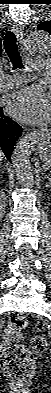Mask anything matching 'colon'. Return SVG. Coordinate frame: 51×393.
<instances>
[{
	"instance_id": "obj_1",
	"label": "colon",
	"mask_w": 51,
	"mask_h": 393,
	"mask_svg": "<svg viewBox=\"0 0 51 393\" xmlns=\"http://www.w3.org/2000/svg\"><path fill=\"white\" fill-rule=\"evenodd\" d=\"M27 326L28 320L24 315H12L5 331L6 341L1 347V365L15 382L27 380L35 363L32 353L18 343ZM30 348L36 354L44 353L47 349L46 339L41 335L31 337Z\"/></svg>"
}]
</instances>
